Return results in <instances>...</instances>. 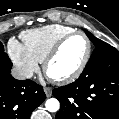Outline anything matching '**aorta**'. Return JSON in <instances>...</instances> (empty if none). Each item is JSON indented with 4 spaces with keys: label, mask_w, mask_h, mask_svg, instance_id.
<instances>
[{
    "label": "aorta",
    "mask_w": 119,
    "mask_h": 119,
    "mask_svg": "<svg viewBox=\"0 0 119 119\" xmlns=\"http://www.w3.org/2000/svg\"><path fill=\"white\" fill-rule=\"evenodd\" d=\"M45 107L49 112H57L60 108V103L56 98H50L46 101Z\"/></svg>",
    "instance_id": "aorta-1"
}]
</instances>
